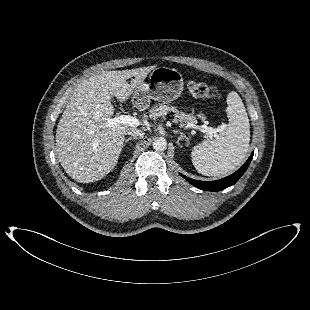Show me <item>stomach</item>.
<instances>
[{
    "mask_svg": "<svg viewBox=\"0 0 310 310\" xmlns=\"http://www.w3.org/2000/svg\"><path fill=\"white\" fill-rule=\"evenodd\" d=\"M149 79V83L141 80L133 91V102L138 108H146L151 99L170 103L181 95L184 88L183 77L175 68L156 67Z\"/></svg>",
    "mask_w": 310,
    "mask_h": 310,
    "instance_id": "obj_1",
    "label": "stomach"
}]
</instances>
